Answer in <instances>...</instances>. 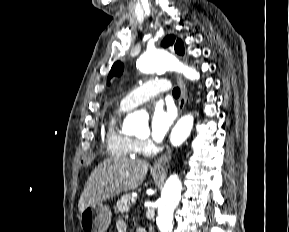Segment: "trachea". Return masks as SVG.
<instances>
[{"instance_id": "1", "label": "trachea", "mask_w": 289, "mask_h": 232, "mask_svg": "<svg viewBox=\"0 0 289 232\" xmlns=\"http://www.w3.org/2000/svg\"><path fill=\"white\" fill-rule=\"evenodd\" d=\"M172 94L174 97L178 98L180 96V89L178 87L174 88Z\"/></svg>"}]
</instances>
